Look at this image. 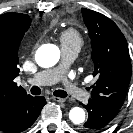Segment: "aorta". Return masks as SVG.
<instances>
[{"instance_id": "obj_1", "label": "aorta", "mask_w": 133, "mask_h": 133, "mask_svg": "<svg viewBox=\"0 0 133 133\" xmlns=\"http://www.w3.org/2000/svg\"><path fill=\"white\" fill-rule=\"evenodd\" d=\"M60 58V50L53 44H45L36 52L35 59L39 66L49 68L54 66ZM85 111L80 107H73L69 112V119L76 125L85 121Z\"/></svg>"}]
</instances>
